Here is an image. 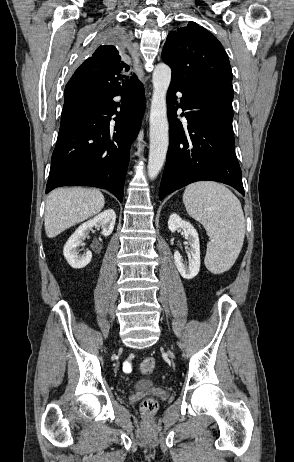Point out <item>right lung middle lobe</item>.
<instances>
[{
	"mask_svg": "<svg viewBox=\"0 0 294 462\" xmlns=\"http://www.w3.org/2000/svg\"><path fill=\"white\" fill-rule=\"evenodd\" d=\"M123 40V32L121 29L113 27L109 28L99 34L98 38L95 41V45H103L110 43H119ZM73 102H65L64 105L72 104Z\"/></svg>",
	"mask_w": 294,
	"mask_h": 462,
	"instance_id": "dd1d6c3e",
	"label": "right lung middle lobe"
}]
</instances>
